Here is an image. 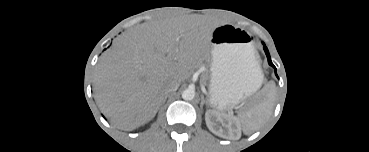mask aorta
<instances>
[{
	"instance_id": "1",
	"label": "aorta",
	"mask_w": 369,
	"mask_h": 152,
	"mask_svg": "<svg viewBox=\"0 0 369 152\" xmlns=\"http://www.w3.org/2000/svg\"><path fill=\"white\" fill-rule=\"evenodd\" d=\"M195 97V90L192 88H187L182 92V98L184 100H193Z\"/></svg>"
}]
</instances>
